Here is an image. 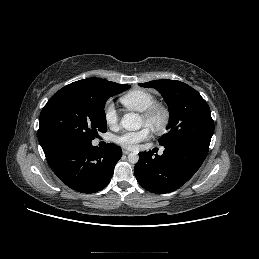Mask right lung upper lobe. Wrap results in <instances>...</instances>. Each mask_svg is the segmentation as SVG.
<instances>
[{
    "label": "right lung upper lobe",
    "mask_w": 259,
    "mask_h": 259,
    "mask_svg": "<svg viewBox=\"0 0 259 259\" xmlns=\"http://www.w3.org/2000/svg\"><path fill=\"white\" fill-rule=\"evenodd\" d=\"M109 81L100 78H88L71 83L75 86H99Z\"/></svg>",
    "instance_id": "1"
}]
</instances>
